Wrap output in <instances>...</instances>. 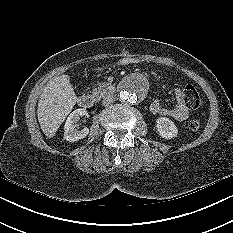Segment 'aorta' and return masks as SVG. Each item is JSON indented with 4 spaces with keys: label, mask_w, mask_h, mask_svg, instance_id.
Segmentation results:
<instances>
[{
    "label": "aorta",
    "mask_w": 233,
    "mask_h": 233,
    "mask_svg": "<svg viewBox=\"0 0 233 233\" xmlns=\"http://www.w3.org/2000/svg\"><path fill=\"white\" fill-rule=\"evenodd\" d=\"M147 94L145 82L138 77H130L123 82L119 91L122 103L136 104L141 102Z\"/></svg>",
    "instance_id": "aorta-1"
}]
</instances>
